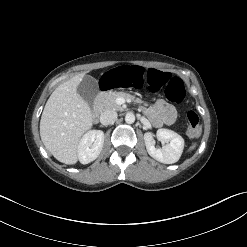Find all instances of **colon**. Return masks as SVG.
<instances>
[{"label":"colon","mask_w":247,"mask_h":247,"mask_svg":"<svg viewBox=\"0 0 247 247\" xmlns=\"http://www.w3.org/2000/svg\"><path fill=\"white\" fill-rule=\"evenodd\" d=\"M101 84L107 90L124 87L139 88L144 86L151 92L165 89V95L171 102L180 103L185 98V88L181 79L172 77L167 72H161L155 67H144L129 63L105 70L101 75ZM189 133L193 137L200 135L202 126L199 116L194 111L187 113Z\"/></svg>","instance_id":"5ec220e1"}]
</instances>
